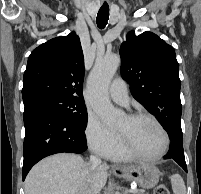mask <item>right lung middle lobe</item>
I'll use <instances>...</instances> for the list:
<instances>
[{
  "label": "right lung middle lobe",
  "mask_w": 201,
  "mask_h": 194,
  "mask_svg": "<svg viewBox=\"0 0 201 194\" xmlns=\"http://www.w3.org/2000/svg\"><path fill=\"white\" fill-rule=\"evenodd\" d=\"M24 105H39L57 111L68 119L81 131H84L87 123V110L84 101L55 95L36 97Z\"/></svg>",
  "instance_id": "1"
}]
</instances>
